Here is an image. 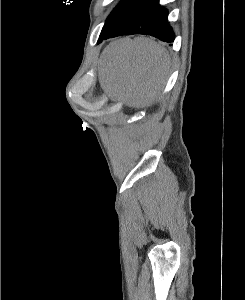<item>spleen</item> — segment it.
<instances>
[{"mask_svg":"<svg viewBox=\"0 0 245 300\" xmlns=\"http://www.w3.org/2000/svg\"><path fill=\"white\" fill-rule=\"evenodd\" d=\"M164 47L147 38L119 39L102 52L99 64L101 88L113 101L142 108L159 93L169 70Z\"/></svg>","mask_w":245,"mask_h":300,"instance_id":"3e777b00","label":"spleen"}]
</instances>
